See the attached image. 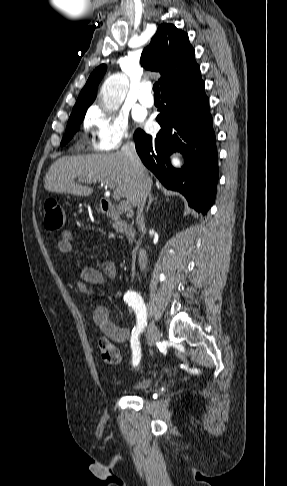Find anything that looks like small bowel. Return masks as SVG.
<instances>
[{
    "label": "small bowel",
    "instance_id": "obj_1",
    "mask_svg": "<svg viewBox=\"0 0 287 486\" xmlns=\"http://www.w3.org/2000/svg\"><path fill=\"white\" fill-rule=\"evenodd\" d=\"M58 241V251L63 255H69L73 251L75 236L69 230H63ZM117 268L114 262L104 261L102 268H84L79 276L75 278V285L78 290L90 299H96L95 286H105L116 278ZM93 319L100 330L111 340L123 343L132 339L128 328L117 326L111 319L110 311L105 306H98L93 312Z\"/></svg>",
    "mask_w": 287,
    "mask_h": 486
}]
</instances>
